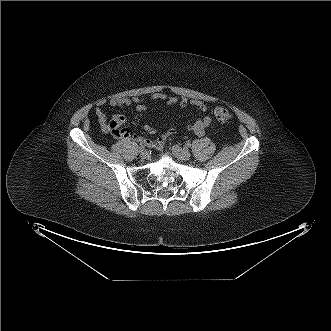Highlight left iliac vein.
<instances>
[{"mask_svg":"<svg viewBox=\"0 0 331 331\" xmlns=\"http://www.w3.org/2000/svg\"><path fill=\"white\" fill-rule=\"evenodd\" d=\"M173 154L181 160H190L191 154L187 149L181 148L179 145L172 146Z\"/></svg>","mask_w":331,"mask_h":331,"instance_id":"obj_1","label":"left iliac vein"}]
</instances>
